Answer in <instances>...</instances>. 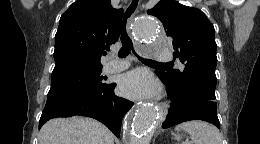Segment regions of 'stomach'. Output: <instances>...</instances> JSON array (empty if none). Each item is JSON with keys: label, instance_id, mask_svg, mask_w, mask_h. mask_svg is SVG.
<instances>
[{"label": "stomach", "instance_id": "0dacf381", "mask_svg": "<svg viewBox=\"0 0 260 144\" xmlns=\"http://www.w3.org/2000/svg\"><path fill=\"white\" fill-rule=\"evenodd\" d=\"M172 135H173L174 138L177 139V140H180V139L182 138V135H180V134L173 133Z\"/></svg>", "mask_w": 260, "mask_h": 144}]
</instances>
